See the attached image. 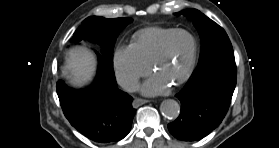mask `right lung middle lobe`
<instances>
[{"mask_svg": "<svg viewBox=\"0 0 279 148\" xmlns=\"http://www.w3.org/2000/svg\"><path fill=\"white\" fill-rule=\"evenodd\" d=\"M132 21L131 18L106 19L103 17H88L74 33L72 41L83 38L102 46L103 57L108 64H113V47L120 31Z\"/></svg>", "mask_w": 279, "mask_h": 148, "instance_id": "dd1d6c3e", "label": "right lung middle lobe"}]
</instances>
